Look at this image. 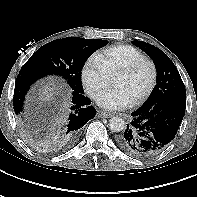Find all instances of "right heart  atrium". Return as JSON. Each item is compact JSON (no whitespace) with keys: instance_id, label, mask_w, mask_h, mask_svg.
Here are the masks:
<instances>
[{"instance_id":"d8ad5b80","label":"right heart atrium","mask_w":197,"mask_h":197,"mask_svg":"<svg viewBox=\"0 0 197 197\" xmlns=\"http://www.w3.org/2000/svg\"><path fill=\"white\" fill-rule=\"evenodd\" d=\"M109 80L110 75L96 55L85 61L81 69V81L90 97L95 98L107 86Z\"/></svg>"}]
</instances>
